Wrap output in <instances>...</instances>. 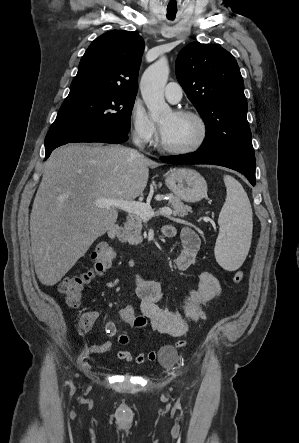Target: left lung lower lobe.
Segmentation results:
<instances>
[{
  "label": "left lung lower lobe",
  "instance_id": "1",
  "mask_svg": "<svg viewBox=\"0 0 299 443\" xmlns=\"http://www.w3.org/2000/svg\"><path fill=\"white\" fill-rule=\"evenodd\" d=\"M160 160L171 164H212L224 166L242 173L253 186L256 183L254 155L221 157L196 151L189 154L160 157Z\"/></svg>",
  "mask_w": 299,
  "mask_h": 443
}]
</instances>
